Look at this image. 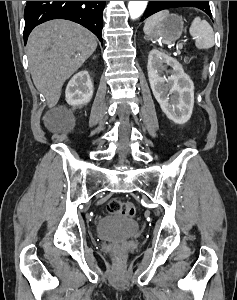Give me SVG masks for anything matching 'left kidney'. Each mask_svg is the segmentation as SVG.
<instances>
[{
    "mask_svg": "<svg viewBox=\"0 0 237 300\" xmlns=\"http://www.w3.org/2000/svg\"><path fill=\"white\" fill-rule=\"evenodd\" d=\"M164 63L171 67L168 79L161 77L165 71ZM147 71L153 95L166 117L177 125L187 123L194 107V83L184 73L182 65L162 51L152 49L148 57Z\"/></svg>",
    "mask_w": 237,
    "mask_h": 300,
    "instance_id": "obj_1",
    "label": "left kidney"
}]
</instances>
